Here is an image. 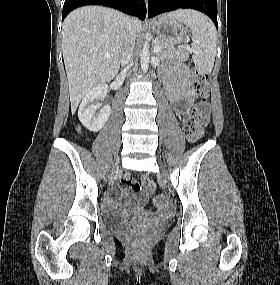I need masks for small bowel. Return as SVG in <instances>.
<instances>
[{
	"label": "small bowel",
	"mask_w": 280,
	"mask_h": 285,
	"mask_svg": "<svg viewBox=\"0 0 280 285\" xmlns=\"http://www.w3.org/2000/svg\"><path fill=\"white\" fill-rule=\"evenodd\" d=\"M164 87L168 98L175 106V111L178 116L184 114L190 106L193 93L188 84L187 70L184 66H175L169 73L162 77ZM202 117L206 120L209 116L208 107L201 110ZM142 203L146 202V198L137 197L133 199ZM111 203V201H109Z\"/></svg>",
	"instance_id": "1"
}]
</instances>
